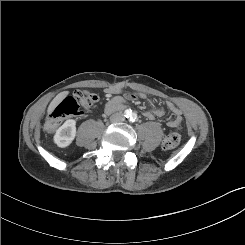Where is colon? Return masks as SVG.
Masks as SVG:
<instances>
[{
  "mask_svg": "<svg viewBox=\"0 0 245 245\" xmlns=\"http://www.w3.org/2000/svg\"><path fill=\"white\" fill-rule=\"evenodd\" d=\"M99 96L88 90H78L73 95L65 98L46 118L44 130L52 133L61 121L68 117L79 116L83 110L89 111L96 108ZM180 142V134L177 131L169 133L162 141L164 150H173Z\"/></svg>",
  "mask_w": 245,
  "mask_h": 245,
  "instance_id": "colon-1",
  "label": "colon"
}]
</instances>
